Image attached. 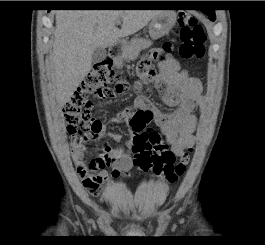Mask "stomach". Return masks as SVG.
I'll return each mask as SVG.
<instances>
[{
    "label": "stomach",
    "mask_w": 265,
    "mask_h": 245,
    "mask_svg": "<svg viewBox=\"0 0 265 245\" xmlns=\"http://www.w3.org/2000/svg\"><path fill=\"white\" fill-rule=\"evenodd\" d=\"M176 23V14L165 11L154 17L149 23V34L152 39H158L170 32ZM139 40V39H134Z\"/></svg>",
    "instance_id": "0dacf381"
}]
</instances>
